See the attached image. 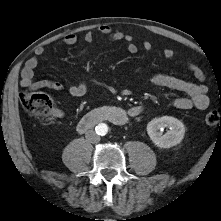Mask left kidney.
Segmentation results:
<instances>
[{
    "label": "left kidney",
    "instance_id": "left-kidney-1",
    "mask_svg": "<svg viewBox=\"0 0 221 221\" xmlns=\"http://www.w3.org/2000/svg\"><path fill=\"white\" fill-rule=\"evenodd\" d=\"M165 127L169 128V130L162 135L159 130ZM147 133L157 147L170 148L182 141L185 135V126L177 118L163 116L154 118L147 124Z\"/></svg>",
    "mask_w": 221,
    "mask_h": 221
}]
</instances>
